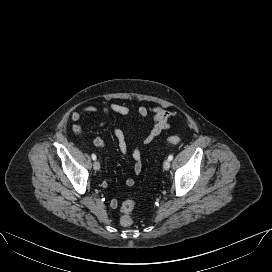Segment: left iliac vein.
I'll list each match as a JSON object with an SVG mask.
<instances>
[{
	"instance_id": "4c4485c4",
	"label": "left iliac vein",
	"mask_w": 272,
	"mask_h": 272,
	"mask_svg": "<svg viewBox=\"0 0 272 272\" xmlns=\"http://www.w3.org/2000/svg\"><path fill=\"white\" fill-rule=\"evenodd\" d=\"M171 164H170V160H165L164 163H163V168L165 170H168L170 168Z\"/></svg>"
}]
</instances>
